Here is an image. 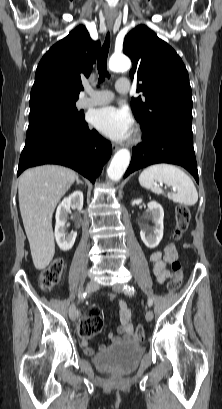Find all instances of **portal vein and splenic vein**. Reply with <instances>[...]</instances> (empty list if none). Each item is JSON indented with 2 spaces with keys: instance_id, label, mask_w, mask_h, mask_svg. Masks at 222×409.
I'll list each match as a JSON object with an SVG mask.
<instances>
[{
  "instance_id": "obj_1",
  "label": "portal vein and splenic vein",
  "mask_w": 222,
  "mask_h": 409,
  "mask_svg": "<svg viewBox=\"0 0 222 409\" xmlns=\"http://www.w3.org/2000/svg\"><path fill=\"white\" fill-rule=\"evenodd\" d=\"M158 186L163 187V183H160ZM173 190H176V188L173 187Z\"/></svg>"
}]
</instances>
